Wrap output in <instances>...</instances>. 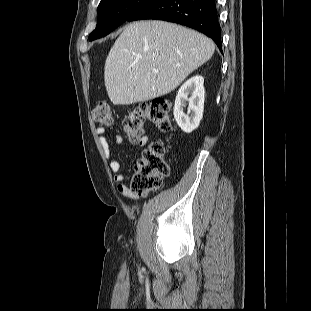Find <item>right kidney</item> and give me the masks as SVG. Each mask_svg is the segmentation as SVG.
I'll return each mask as SVG.
<instances>
[{"instance_id":"obj_1","label":"right kidney","mask_w":311,"mask_h":311,"mask_svg":"<svg viewBox=\"0 0 311 311\" xmlns=\"http://www.w3.org/2000/svg\"><path fill=\"white\" fill-rule=\"evenodd\" d=\"M203 83L202 76H193L180 87L176 96L173 114L176 123L185 133L195 130L202 119L205 95ZM186 102L189 103L188 114L184 113Z\"/></svg>"}]
</instances>
